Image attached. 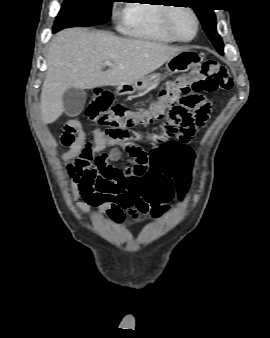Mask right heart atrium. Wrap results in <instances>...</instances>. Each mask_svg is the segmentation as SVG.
<instances>
[{
  "mask_svg": "<svg viewBox=\"0 0 270 338\" xmlns=\"http://www.w3.org/2000/svg\"><path fill=\"white\" fill-rule=\"evenodd\" d=\"M124 21V17L122 18V22Z\"/></svg>",
  "mask_w": 270,
  "mask_h": 338,
  "instance_id": "1",
  "label": "right heart atrium"
}]
</instances>
